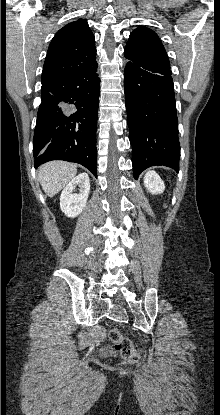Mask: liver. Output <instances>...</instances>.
I'll return each mask as SVG.
<instances>
[{
  "label": "liver",
  "mask_w": 220,
  "mask_h": 415,
  "mask_svg": "<svg viewBox=\"0 0 220 415\" xmlns=\"http://www.w3.org/2000/svg\"><path fill=\"white\" fill-rule=\"evenodd\" d=\"M77 174V166L63 161L43 164L38 171L39 180L49 197L60 192Z\"/></svg>",
  "instance_id": "obj_1"
}]
</instances>
